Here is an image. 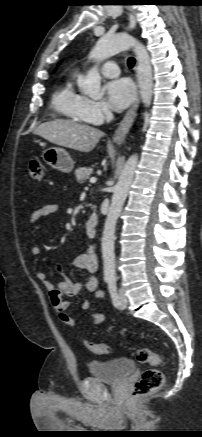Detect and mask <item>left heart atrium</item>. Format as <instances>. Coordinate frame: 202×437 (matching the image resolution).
Wrapping results in <instances>:
<instances>
[{
	"label": "left heart atrium",
	"instance_id": "obj_1",
	"mask_svg": "<svg viewBox=\"0 0 202 437\" xmlns=\"http://www.w3.org/2000/svg\"><path fill=\"white\" fill-rule=\"evenodd\" d=\"M105 90L111 106L116 111L125 109L135 97L134 86L127 78L109 81L105 86Z\"/></svg>",
	"mask_w": 202,
	"mask_h": 437
}]
</instances>
